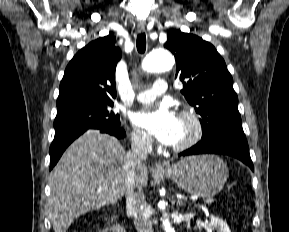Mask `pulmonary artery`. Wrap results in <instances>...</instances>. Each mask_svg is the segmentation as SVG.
I'll list each match as a JSON object with an SVG mask.
<instances>
[{
	"instance_id": "e3ab8cb5",
	"label": "pulmonary artery",
	"mask_w": 289,
	"mask_h": 232,
	"mask_svg": "<svg viewBox=\"0 0 289 232\" xmlns=\"http://www.w3.org/2000/svg\"><path fill=\"white\" fill-rule=\"evenodd\" d=\"M166 90V81L164 79H158L155 81L151 89L139 92L136 96V99L141 103H150L154 101L158 96L164 94Z\"/></svg>"
}]
</instances>
